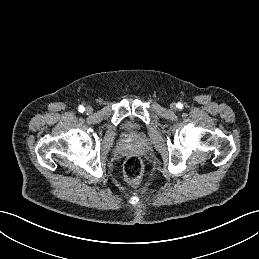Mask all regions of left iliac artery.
Wrapping results in <instances>:
<instances>
[{
    "mask_svg": "<svg viewBox=\"0 0 259 259\" xmlns=\"http://www.w3.org/2000/svg\"><path fill=\"white\" fill-rule=\"evenodd\" d=\"M176 107H178V108H182V107H183V105H182L181 103H178V104L176 105Z\"/></svg>",
    "mask_w": 259,
    "mask_h": 259,
    "instance_id": "obj_1",
    "label": "left iliac artery"
}]
</instances>
